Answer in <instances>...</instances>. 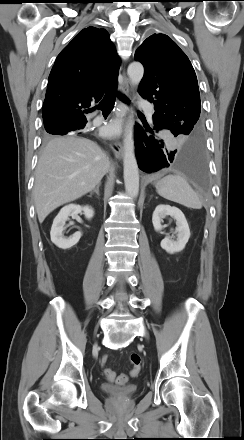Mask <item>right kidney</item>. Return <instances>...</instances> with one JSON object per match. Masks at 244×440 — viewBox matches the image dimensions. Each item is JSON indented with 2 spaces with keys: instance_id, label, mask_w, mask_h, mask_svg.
Masks as SVG:
<instances>
[{
  "instance_id": "1",
  "label": "right kidney",
  "mask_w": 244,
  "mask_h": 440,
  "mask_svg": "<svg viewBox=\"0 0 244 440\" xmlns=\"http://www.w3.org/2000/svg\"><path fill=\"white\" fill-rule=\"evenodd\" d=\"M82 212L87 219H91L94 216V210L89 206L82 207L76 204H69L60 210L53 221L50 231L51 241L57 247L66 250L78 243L82 236L80 232L74 233L69 238L63 237L62 232L64 230V226L68 217L71 216L72 218H75L78 216L79 213Z\"/></svg>"
}]
</instances>
